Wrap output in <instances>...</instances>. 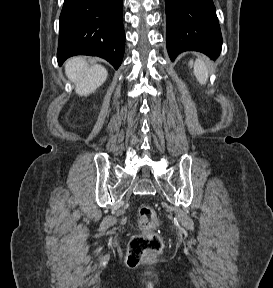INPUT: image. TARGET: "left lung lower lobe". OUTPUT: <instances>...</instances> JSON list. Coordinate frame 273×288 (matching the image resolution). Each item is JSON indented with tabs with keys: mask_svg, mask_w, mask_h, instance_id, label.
I'll return each mask as SVG.
<instances>
[{
	"mask_svg": "<svg viewBox=\"0 0 273 288\" xmlns=\"http://www.w3.org/2000/svg\"><path fill=\"white\" fill-rule=\"evenodd\" d=\"M166 45L172 61L183 51L219 57L222 35L212 0H165Z\"/></svg>",
	"mask_w": 273,
	"mask_h": 288,
	"instance_id": "obj_1",
	"label": "left lung lower lobe"
}]
</instances>
